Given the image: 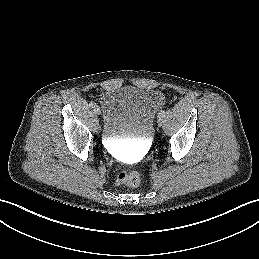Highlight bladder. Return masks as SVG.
<instances>
[{
    "instance_id": "obj_1",
    "label": "bladder",
    "mask_w": 259,
    "mask_h": 259,
    "mask_svg": "<svg viewBox=\"0 0 259 259\" xmlns=\"http://www.w3.org/2000/svg\"><path fill=\"white\" fill-rule=\"evenodd\" d=\"M102 105L105 139L149 141L152 138L155 113L161 105L159 92L124 87L104 94Z\"/></svg>"
}]
</instances>
